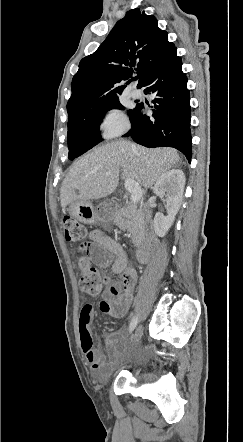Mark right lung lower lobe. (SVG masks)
<instances>
[{"label":"right lung lower lobe","instance_id":"1","mask_svg":"<svg viewBox=\"0 0 243 442\" xmlns=\"http://www.w3.org/2000/svg\"><path fill=\"white\" fill-rule=\"evenodd\" d=\"M145 93L152 92L153 116L142 115L137 104L131 130L124 136L146 147H174L191 161L190 95L176 50L144 81ZM140 87V88H141Z\"/></svg>","mask_w":243,"mask_h":442}]
</instances>
